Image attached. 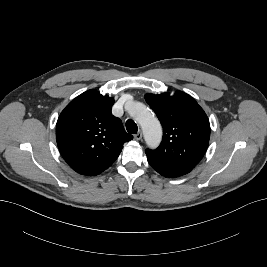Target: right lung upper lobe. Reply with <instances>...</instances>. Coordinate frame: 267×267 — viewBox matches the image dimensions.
I'll return each instance as SVG.
<instances>
[{"mask_svg":"<svg viewBox=\"0 0 267 267\" xmlns=\"http://www.w3.org/2000/svg\"><path fill=\"white\" fill-rule=\"evenodd\" d=\"M114 99L88 90L61 112L56 124L59 151L67 164L83 175H98L118 158L133 139L111 113Z\"/></svg>","mask_w":267,"mask_h":267,"instance_id":"right-lung-upper-lobe-1","label":"right lung upper lobe"}]
</instances>
